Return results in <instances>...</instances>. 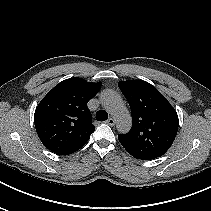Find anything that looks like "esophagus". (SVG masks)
<instances>
[{"label": "esophagus", "instance_id": "esophagus-1", "mask_svg": "<svg viewBox=\"0 0 211 211\" xmlns=\"http://www.w3.org/2000/svg\"><path fill=\"white\" fill-rule=\"evenodd\" d=\"M107 124H109L110 126H114L115 125V120L113 118H109L107 121H106Z\"/></svg>", "mask_w": 211, "mask_h": 211}]
</instances>
